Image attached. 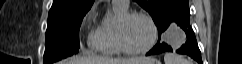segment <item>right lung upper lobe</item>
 Wrapping results in <instances>:
<instances>
[{
	"mask_svg": "<svg viewBox=\"0 0 242 64\" xmlns=\"http://www.w3.org/2000/svg\"><path fill=\"white\" fill-rule=\"evenodd\" d=\"M94 0H54L48 18L74 16L88 12Z\"/></svg>",
	"mask_w": 242,
	"mask_h": 64,
	"instance_id": "obj_1",
	"label": "right lung upper lobe"
}]
</instances>
